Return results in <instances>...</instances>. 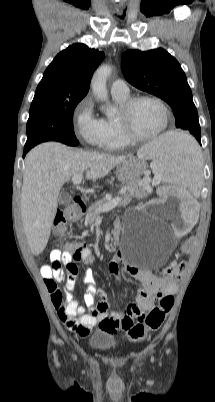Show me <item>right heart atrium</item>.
Wrapping results in <instances>:
<instances>
[{
    "mask_svg": "<svg viewBox=\"0 0 215 402\" xmlns=\"http://www.w3.org/2000/svg\"><path fill=\"white\" fill-rule=\"evenodd\" d=\"M74 128L76 135L89 146H102L106 135L103 119L94 114L93 102L83 99L74 111Z\"/></svg>",
    "mask_w": 215,
    "mask_h": 402,
    "instance_id": "right-heart-atrium-1",
    "label": "right heart atrium"
}]
</instances>
